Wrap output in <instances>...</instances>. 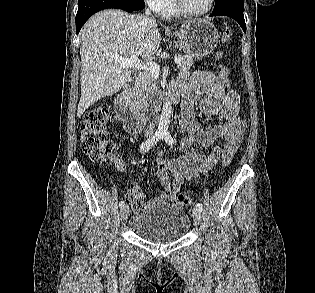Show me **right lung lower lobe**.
<instances>
[{
    "mask_svg": "<svg viewBox=\"0 0 315 293\" xmlns=\"http://www.w3.org/2000/svg\"><path fill=\"white\" fill-rule=\"evenodd\" d=\"M143 0H79V8L76 15V33L94 13L107 9L116 8L128 12L140 11L144 8Z\"/></svg>",
    "mask_w": 315,
    "mask_h": 293,
    "instance_id": "1",
    "label": "right lung lower lobe"
}]
</instances>
